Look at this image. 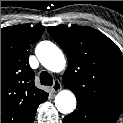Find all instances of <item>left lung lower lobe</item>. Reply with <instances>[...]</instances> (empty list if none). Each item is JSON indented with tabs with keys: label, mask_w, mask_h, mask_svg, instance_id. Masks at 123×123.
<instances>
[{
	"label": "left lung lower lobe",
	"mask_w": 123,
	"mask_h": 123,
	"mask_svg": "<svg viewBox=\"0 0 123 123\" xmlns=\"http://www.w3.org/2000/svg\"><path fill=\"white\" fill-rule=\"evenodd\" d=\"M119 113L77 101V109L64 117L62 123H115Z\"/></svg>",
	"instance_id": "1"
}]
</instances>
